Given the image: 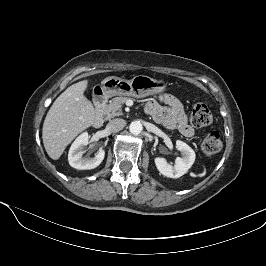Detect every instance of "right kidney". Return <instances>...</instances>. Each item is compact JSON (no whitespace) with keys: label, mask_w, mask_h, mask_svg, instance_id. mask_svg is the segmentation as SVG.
Wrapping results in <instances>:
<instances>
[{"label":"right kidney","mask_w":266,"mask_h":266,"mask_svg":"<svg viewBox=\"0 0 266 266\" xmlns=\"http://www.w3.org/2000/svg\"><path fill=\"white\" fill-rule=\"evenodd\" d=\"M88 143L89 136L87 132L82 133L75 139L68 153L70 166L78 170H90L101 164L105 156V151L103 149L99 150L94 158L83 157V149L86 145H88Z\"/></svg>","instance_id":"obj_1"}]
</instances>
